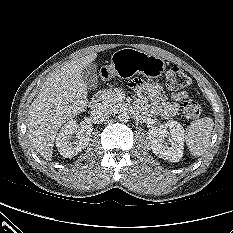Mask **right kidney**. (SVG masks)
Returning <instances> with one entry per match:
<instances>
[{"label":"right kidney","mask_w":233,"mask_h":233,"mask_svg":"<svg viewBox=\"0 0 233 233\" xmlns=\"http://www.w3.org/2000/svg\"><path fill=\"white\" fill-rule=\"evenodd\" d=\"M93 130L92 124L80 123L75 120L67 122L60 130L56 138V147L63 157L71 158L85 149L90 142ZM75 134L76 139H73Z\"/></svg>","instance_id":"ca27d5eb"}]
</instances>
